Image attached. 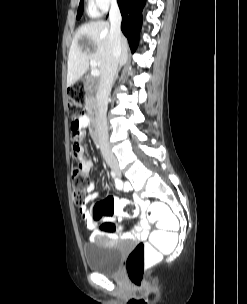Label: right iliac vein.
<instances>
[{
    "instance_id": "1",
    "label": "right iliac vein",
    "mask_w": 247,
    "mask_h": 304,
    "mask_svg": "<svg viewBox=\"0 0 247 304\" xmlns=\"http://www.w3.org/2000/svg\"><path fill=\"white\" fill-rule=\"evenodd\" d=\"M111 168H112L116 173H120V170H119L118 166H116V165H111Z\"/></svg>"
}]
</instances>
